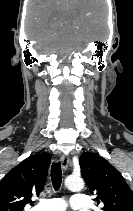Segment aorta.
<instances>
[{
  "instance_id": "1",
  "label": "aorta",
  "mask_w": 133,
  "mask_h": 211,
  "mask_svg": "<svg viewBox=\"0 0 133 211\" xmlns=\"http://www.w3.org/2000/svg\"><path fill=\"white\" fill-rule=\"evenodd\" d=\"M65 186L71 191H81L84 188V181L80 176H68L65 179Z\"/></svg>"
}]
</instances>
